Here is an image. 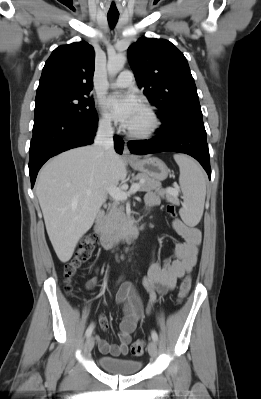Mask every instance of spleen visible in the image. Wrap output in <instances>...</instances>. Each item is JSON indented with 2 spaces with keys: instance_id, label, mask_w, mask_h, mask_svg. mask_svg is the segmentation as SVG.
I'll return each instance as SVG.
<instances>
[{
  "instance_id": "spleen-1",
  "label": "spleen",
  "mask_w": 261,
  "mask_h": 399,
  "mask_svg": "<svg viewBox=\"0 0 261 399\" xmlns=\"http://www.w3.org/2000/svg\"><path fill=\"white\" fill-rule=\"evenodd\" d=\"M174 160L180 169L179 184L184 199L180 216L188 226H196L204 211L206 176L202 168L192 158L175 154Z\"/></svg>"
}]
</instances>
